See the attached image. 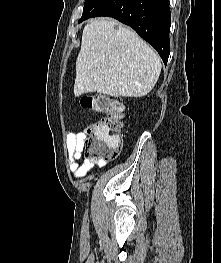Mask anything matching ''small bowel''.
I'll use <instances>...</instances> for the list:
<instances>
[{
  "label": "small bowel",
  "mask_w": 221,
  "mask_h": 263,
  "mask_svg": "<svg viewBox=\"0 0 221 263\" xmlns=\"http://www.w3.org/2000/svg\"><path fill=\"white\" fill-rule=\"evenodd\" d=\"M86 135L83 132L69 133L66 139V145L69 153L72 154L73 160L70 164V168L76 178L84 177L95 164L99 167H105L109 164L107 160L91 161L84 159L82 163H79L83 158V147Z\"/></svg>",
  "instance_id": "small-bowel-1"
}]
</instances>
